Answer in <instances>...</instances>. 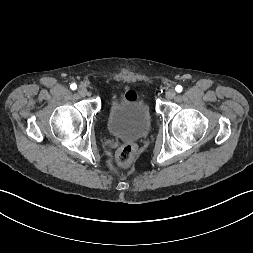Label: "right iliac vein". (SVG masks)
I'll use <instances>...</instances> for the list:
<instances>
[{
  "mask_svg": "<svg viewBox=\"0 0 253 253\" xmlns=\"http://www.w3.org/2000/svg\"><path fill=\"white\" fill-rule=\"evenodd\" d=\"M87 89L85 86H79L78 88V94L82 97L86 96L87 95Z\"/></svg>",
  "mask_w": 253,
  "mask_h": 253,
  "instance_id": "1",
  "label": "right iliac vein"
}]
</instances>
